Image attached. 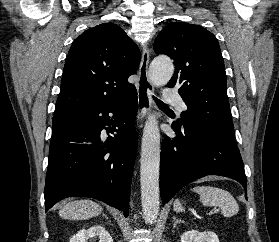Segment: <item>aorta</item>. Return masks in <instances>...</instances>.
Here are the masks:
<instances>
[{
    "mask_svg": "<svg viewBox=\"0 0 279 242\" xmlns=\"http://www.w3.org/2000/svg\"><path fill=\"white\" fill-rule=\"evenodd\" d=\"M174 73L172 60L167 56L153 59L149 78L155 86L166 85ZM141 203L145 222L155 223L159 214L160 132L155 115H149L144 126L140 158Z\"/></svg>",
    "mask_w": 279,
    "mask_h": 242,
    "instance_id": "obj_1",
    "label": "aorta"
}]
</instances>
